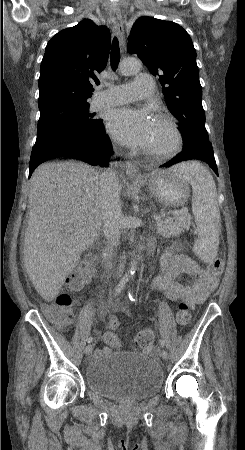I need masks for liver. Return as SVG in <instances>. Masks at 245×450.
<instances>
[{"mask_svg":"<svg viewBox=\"0 0 245 450\" xmlns=\"http://www.w3.org/2000/svg\"><path fill=\"white\" fill-rule=\"evenodd\" d=\"M99 177L94 168L79 162L45 163L31 177L24 265L48 302L101 232Z\"/></svg>","mask_w":245,"mask_h":450,"instance_id":"6515ba94","label":"liver"}]
</instances>
